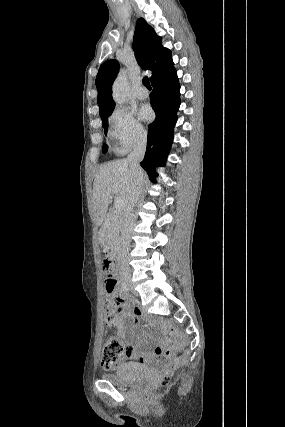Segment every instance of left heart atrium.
I'll return each instance as SVG.
<instances>
[{
	"label": "left heart atrium",
	"mask_w": 285,
	"mask_h": 427,
	"mask_svg": "<svg viewBox=\"0 0 285 427\" xmlns=\"http://www.w3.org/2000/svg\"><path fill=\"white\" fill-rule=\"evenodd\" d=\"M139 117L145 121L150 120L152 117L151 108L148 105H143L139 110Z\"/></svg>",
	"instance_id": "left-heart-atrium-1"
}]
</instances>
